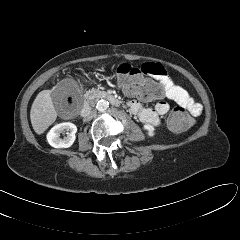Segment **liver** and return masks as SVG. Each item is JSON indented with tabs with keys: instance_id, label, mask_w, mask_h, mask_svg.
Listing matches in <instances>:
<instances>
[{
	"instance_id": "6515ba94",
	"label": "liver",
	"mask_w": 240,
	"mask_h": 240,
	"mask_svg": "<svg viewBox=\"0 0 240 240\" xmlns=\"http://www.w3.org/2000/svg\"><path fill=\"white\" fill-rule=\"evenodd\" d=\"M52 90H43L35 98L31 111L30 120L34 131L37 134H42L52 125L56 118L57 112L54 108L51 98Z\"/></svg>"
}]
</instances>
